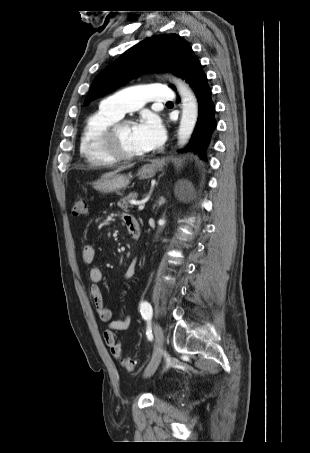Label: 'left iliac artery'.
Listing matches in <instances>:
<instances>
[{
	"mask_svg": "<svg viewBox=\"0 0 310 453\" xmlns=\"http://www.w3.org/2000/svg\"><path fill=\"white\" fill-rule=\"evenodd\" d=\"M140 312H141L142 317L145 320H147V321L151 320V318H152V307L147 301L141 302V304H140Z\"/></svg>",
	"mask_w": 310,
	"mask_h": 453,
	"instance_id": "1",
	"label": "left iliac artery"
}]
</instances>
